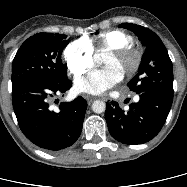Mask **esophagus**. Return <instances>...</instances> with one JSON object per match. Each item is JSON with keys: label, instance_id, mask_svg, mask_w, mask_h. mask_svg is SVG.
Listing matches in <instances>:
<instances>
[{"label": "esophagus", "instance_id": "esophagus-1", "mask_svg": "<svg viewBox=\"0 0 187 187\" xmlns=\"http://www.w3.org/2000/svg\"><path fill=\"white\" fill-rule=\"evenodd\" d=\"M83 97L86 99L88 104H91L96 99L95 97L90 96V95H84Z\"/></svg>", "mask_w": 187, "mask_h": 187}]
</instances>
